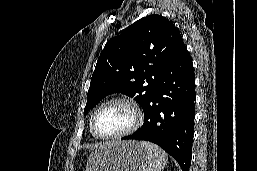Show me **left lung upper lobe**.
Masks as SVG:
<instances>
[{"label": "left lung upper lobe", "mask_w": 257, "mask_h": 171, "mask_svg": "<svg viewBox=\"0 0 257 171\" xmlns=\"http://www.w3.org/2000/svg\"><path fill=\"white\" fill-rule=\"evenodd\" d=\"M183 46L178 29L160 15L134 22L102 50L84 113L112 93L135 97L144 110L170 57Z\"/></svg>", "instance_id": "obj_1"}]
</instances>
